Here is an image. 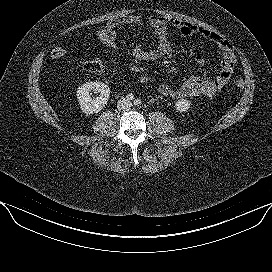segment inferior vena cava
Returning a JSON list of instances; mask_svg holds the SVG:
<instances>
[{"label": "inferior vena cava", "mask_w": 272, "mask_h": 272, "mask_svg": "<svg viewBox=\"0 0 272 272\" xmlns=\"http://www.w3.org/2000/svg\"><path fill=\"white\" fill-rule=\"evenodd\" d=\"M132 107V103L128 99H120L117 102V108L122 111H129Z\"/></svg>", "instance_id": "602c4592"}]
</instances>
